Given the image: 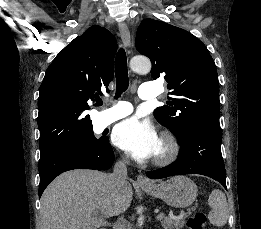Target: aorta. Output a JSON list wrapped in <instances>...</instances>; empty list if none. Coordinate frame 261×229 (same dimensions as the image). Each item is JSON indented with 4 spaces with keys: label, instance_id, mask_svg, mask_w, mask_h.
<instances>
[{
    "label": "aorta",
    "instance_id": "762f6f07",
    "mask_svg": "<svg viewBox=\"0 0 261 229\" xmlns=\"http://www.w3.org/2000/svg\"><path fill=\"white\" fill-rule=\"evenodd\" d=\"M151 60L147 56H133L130 60V68L134 72H140V74H147L151 70Z\"/></svg>",
    "mask_w": 261,
    "mask_h": 229
}]
</instances>
